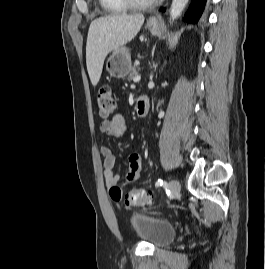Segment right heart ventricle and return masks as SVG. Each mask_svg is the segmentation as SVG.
I'll use <instances>...</instances> for the list:
<instances>
[{
	"label": "right heart ventricle",
	"mask_w": 265,
	"mask_h": 269,
	"mask_svg": "<svg viewBox=\"0 0 265 269\" xmlns=\"http://www.w3.org/2000/svg\"><path fill=\"white\" fill-rule=\"evenodd\" d=\"M99 2L102 8L109 13H123L129 9L123 0H99Z\"/></svg>",
	"instance_id": "1"
}]
</instances>
